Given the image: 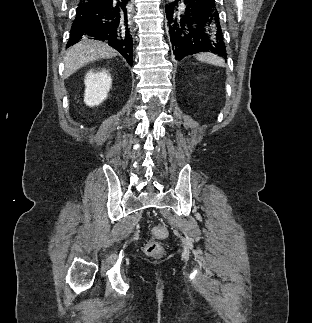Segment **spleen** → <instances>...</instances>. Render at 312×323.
Returning <instances> with one entry per match:
<instances>
[{"mask_svg":"<svg viewBox=\"0 0 312 323\" xmlns=\"http://www.w3.org/2000/svg\"><path fill=\"white\" fill-rule=\"evenodd\" d=\"M196 60L200 62H207V64H214V66H224V60L213 56V54H197Z\"/></svg>","mask_w":312,"mask_h":323,"instance_id":"3e777b00","label":"spleen"}]
</instances>
